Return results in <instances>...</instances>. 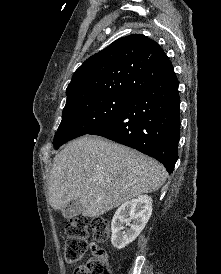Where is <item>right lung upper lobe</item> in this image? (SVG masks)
Here are the masks:
<instances>
[{"mask_svg":"<svg viewBox=\"0 0 221 274\" xmlns=\"http://www.w3.org/2000/svg\"><path fill=\"white\" fill-rule=\"evenodd\" d=\"M172 70L157 42L142 34L122 37L75 71L66 89V103L103 95L134 97Z\"/></svg>","mask_w":221,"mask_h":274,"instance_id":"cb5924a9","label":"right lung upper lobe"}]
</instances>
